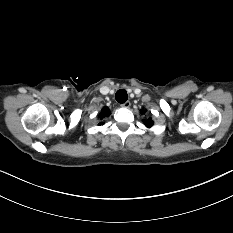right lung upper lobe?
Returning <instances> with one entry per match:
<instances>
[{
    "instance_id": "obj_1",
    "label": "right lung upper lobe",
    "mask_w": 233,
    "mask_h": 233,
    "mask_svg": "<svg viewBox=\"0 0 233 233\" xmlns=\"http://www.w3.org/2000/svg\"><path fill=\"white\" fill-rule=\"evenodd\" d=\"M110 114V111L107 107H104L101 111V113L99 114V117L101 119L105 118L106 116H109ZM104 123L103 122H100L98 125H103Z\"/></svg>"
}]
</instances>
